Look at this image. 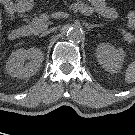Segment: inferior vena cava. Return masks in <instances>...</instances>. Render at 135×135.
I'll use <instances>...</instances> for the list:
<instances>
[{"label":"inferior vena cava","mask_w":135,"mask_h":135,"mask_svg":"<svg viewBox=\"0 0 135 135\" xmlns=\"http://www.w3.org/2000/svg\"><path fill=\"white\" fill-rule=\"evenodd\" d=\"M54 30H55V28L49 29V30L43 32L41 36H45V35H47V34L53 32Z\"/></svg>","instance_id":"obj_1"}]
</instances>
